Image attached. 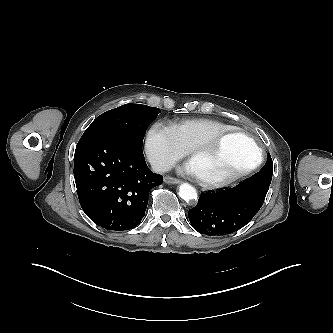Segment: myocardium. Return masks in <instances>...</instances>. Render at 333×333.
Masks as SVG:
<instances>
[{"label": "myocardium", "instance_id": "obj_1", "mask_svg": "<svg viewBox=\"0 0 333 333\" xmlns=\"http://www.w3.org/2000/svg\"><path fill=\"white\" fill-rule=\"evenodd\" d=\"M235 134L243 135L252 142V144L256 148V152H257L256 158L248 166H246L236 172H233L225 177L206 178L203 176L196 175L197 180L204 187L220 188V187L227 186V185L239 180L240 178L248 175L249 173H251L261 163L262 158H263V149H262L260 143L251 134H249L247 131H245L244 129H241V128H231V129L222 131V132L217 133V134L213 135L212 137L194 145L188 151L190 160H192L194 157H196L200 154H205V153L211 152L221 142L222 139H224L227 136L235 135Z\"/></svg>", "mask_w": 333, "mask_h": 333}]
</instances>
